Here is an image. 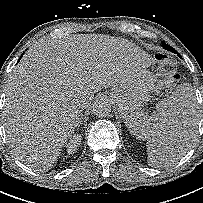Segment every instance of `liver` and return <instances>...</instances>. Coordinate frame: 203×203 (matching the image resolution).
Returning a JSON list of instances; mask_svg holds the SVG:
<instances>
[{
	"label": "liver",
	"mask_w": 203,
	"mask_h": 203,
	"mask_svg": "<svg viewBox=\"0 0 203 203\" xmlns=\"http://www.w3.org/2000/svg\"><path fill=\"white\" fill-rule=\"evenodd\" d=\"M151 63L149 54L125 39H39L6 82L4 126L15 156L36 171L50 169L80 123L81 102L88 106L101 88L113 92ZM162 135L182 145L187 139L177 126Z\"/></svg>",
	"instance_id": "1"
}]
</instances>
